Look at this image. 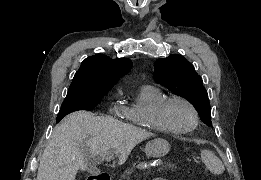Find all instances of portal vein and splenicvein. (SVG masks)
<instances>
[{"mask_svg":"<svg viewBox=\"0 0 261 180\" xmlns=\"http://www.w3.org/2000/svg\"><path fill=\"white\" fill-rule=\"evenodd\" d=\"M146 174H150V171H146Z\"/></svg>","mask_w":261,"mask_h":180,"instance_id":"obj_1","label":"portal vein and splenic vein"}]
</instances>
